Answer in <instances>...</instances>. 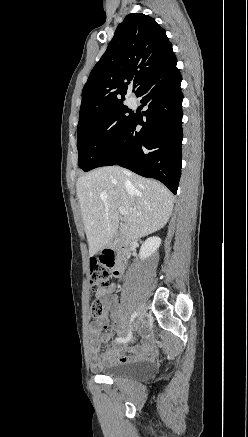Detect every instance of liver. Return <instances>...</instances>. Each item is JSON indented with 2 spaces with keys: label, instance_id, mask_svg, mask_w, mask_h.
Here are the masks:
<instances>
[{
  "label": "liver",
  "instance_id": "obj_1",
  "mask_svg": "<svg viewBox=\"0 0 248 437\" xmlns=\"http://www.w3.org/2000/svg\"><path fill=\"white\" fill-rule=\"evenodd\" d=\"M76 189L90 256L108 244L118 230L127 240L160 230L174 206L172 194L163 184L118 166L80 176ZM120 207L128 212L121 222Z\"/></svg>",
  "mask_w": 248,
  "mask_h": 437
}]
</instances>
